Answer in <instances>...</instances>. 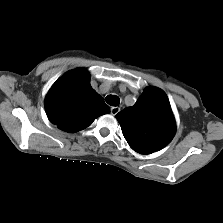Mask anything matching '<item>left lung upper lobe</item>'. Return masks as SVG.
<instances>
[{"label":"left lung upper lobe","mask_w":223,"mask_h":223,"mask_svg":"<svg viewBox=\"0 0 223 223\" xmlns=\"http://www.w3.org/2000/svg\"><path fill=\"white\" fill-rule=\"evenodd\" d=\"M132 149L151 154L164 148L174 137L175 120L166 94L147 87L136 103L116 115Z\"/></svg>","instance_id":"obj_1"}]
</instances>
